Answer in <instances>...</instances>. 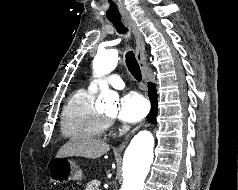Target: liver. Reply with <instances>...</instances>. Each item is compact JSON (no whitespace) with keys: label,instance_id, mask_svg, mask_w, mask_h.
Returning <instances> with one entry per match:
<instances>
[{"label":"liver","instance_id":"liver-1","mask_svg":"<svg viewBox=\"0 0 238 190\" xmlns=\"http://www.w3.org/2000/svg\"><path fill=\"white\" fill-rule=\"evenodd\" d=\"M110 150V146L100 140L91 138H71L57 152L56 157L79 156L88 159H96Z\"/></svg>","mask_w":238,"mask_h":190}]
</instances>
